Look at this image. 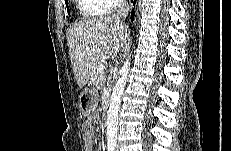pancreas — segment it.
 <instances>
[{
	"instance_id": "1",
	"label": "pancreas",
	"mask_w": 231,
	"mask_h": 151,
	"mask_svg": "<svg viewBox=\"0 0 231 151\" xmlns=\"http://www.w3.org/2000/svg\"><path fill=\"white\" fill-rule=\"evenodd\" d=\"M100 63L101 62H98L97 66L95 68V71H94V73L92 75V78H91L93 84H95L96 86L100 85L101 82H102V75H101V73L99 71V68H98Z\"/></svg>"
}]
</instances>
